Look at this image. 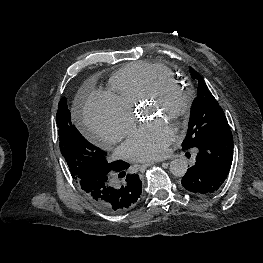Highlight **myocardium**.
I'll return each instance as SVG.
<instances>
[{
  "instance_id": "myocardium-1",
  "label": "myocardium",
  "mask_w": 263,
  "mask_h": 263,
  "mask_svg": "<svg viewBox=\"0 0 263 263\" xmlns=\"http://www.w3.org/2000/svg\"><path fill=\"white\" fill-rule=\"evenodd\" d=\"M172 94L179 97V104L168 113V117L173 121H177L185 117L191 110L194 95L189 87L181 84L176 79L166 78L159 81L145 96L144 101L161 103Z\"/></svg>"
}]
</instances>
